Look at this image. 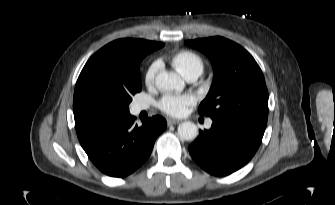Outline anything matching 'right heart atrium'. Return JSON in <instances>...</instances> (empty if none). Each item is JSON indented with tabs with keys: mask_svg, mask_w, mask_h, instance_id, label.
<instances>
[{
	"mask_svg": "<svg viewBox=\"0 0 335 205\" xmlns=\"http://www.w3.org/2000/svg\"><path fill=\"white\" fill-rule=\"evenodd\" d=\"M158 71L159 63L155 61L147 68L145 72L144 80L146 85L151 86L154 84Z\"/></svg>",
	"mask_w": 335,
	"mask_h": 205,
	"instance_id": "right-heart-atrium-1",
	"label": "right heart atrium"
}]
</instances>
